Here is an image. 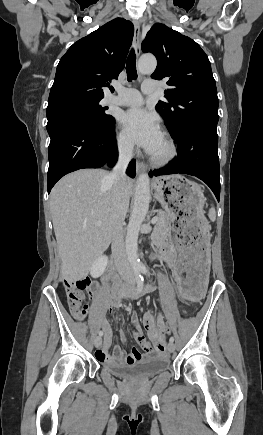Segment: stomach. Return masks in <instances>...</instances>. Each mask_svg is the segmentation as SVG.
Masks as SVG:
<instances>
[{"mask_svg": "<svg viewBox=\"0 0 263 435\" xmlns=\"http://www.w3.org/2000/svg\"><path fill=\"white\" fill-rule=\"evenodd\" d=\"M155 198L169 211L172 247L176 249L171 282L175 283L173 296L185 305H198L205 299V288L211 287L206 279L211 251V224L203 208L205 198L201 186L182 175L156 178L153 182Z\"/></svg>", "mask_w": 263, "mask_h": 435, "instance_id": "0dacf381", "label": "stomach"}]
</instances>
